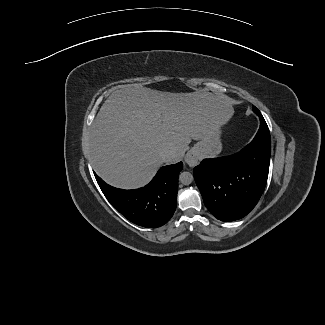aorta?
I'll use <instances>...</instances> for the list:
<instances>
[{
    "label": "aorta",
    "instance_id": "1",
    "mask_svg": "<svg viewBox=\"0 0 325 325\" xmlns=\"http://www.w3.org/2000/svg\"><path fill=\"white\" fill-rule=\"evenodd\" d=\"M193 175L190 172H182L179 175V181L183 184V185H189L193 182Z\"/></svg>",
    "mask_w": 325,
    "mask_h": 325
}]
</instances>
